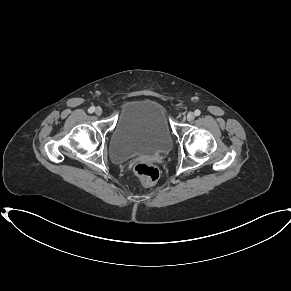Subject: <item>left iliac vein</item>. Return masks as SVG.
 Segmentation results:
<instances>
[{
    "mask_svg": "<svg viewBox=\"0 0 291 291\" xmlns=\"http://www.w3.org/2000/svg\"><path fill=\"white\" fill-rule=\"evenodd\" d=\"M194 118H195V115H194L193 112H189V113L187 114V120H188V121H192V120H194Z\"/></svg>",
    "mask_w": 291,
    "mask_h": 291,
    "instance_id": "obj_1",
    "label": "left iliac vein"
}]
</instances>
